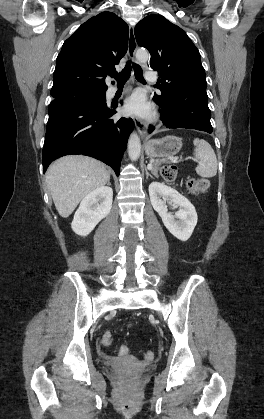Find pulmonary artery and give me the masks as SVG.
Listing matches in <instances>:
<instances>
[{"instance_id": "pulmonary-artery-1", "label": "pulmonary artery", "mask_w": 264, "mask_h": 419, "mask_svg": "<svg viewBox=\"0 0 264 419\" xmlns=\"http://www.w3.org/2000/svg\"><path fill=\"white\" fill-rule=\"evenodd\" d=\"M145 78H146V80H147V81H149V82H156V80H157V75H156V73H155V72H153V71H147V72L145 73ZM117 90H118V89H117V87H111V88L109 89V93H110V94H114Z\"/></svg>"}]
</instances>
